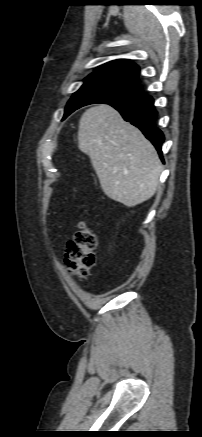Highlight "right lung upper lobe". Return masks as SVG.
I'll return each instance as SVG.
<instances>
[{
    "label": "right lung upper lobe",
    "mask_w": 202,
    "mask_h": 437,
    "mask_svg": "<svg viewBox=\"0 0 202 437\" xmlns=\"http://www.w3.org/2000/svg\"><path fill=\"white\" fill-rule=\"evenodd\" d=\"M95 72H112L138 80L139 67L127 59H118L110 61L95 69Z\"/></svg>",
    "instance_id": "1"
}]
</instances>
